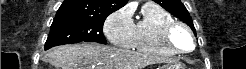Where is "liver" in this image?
Wrapping results in <instances>:
<instances>
[{"label":"liver","instance_id":"1","mask_svg":"<svg viewBox=\"0 0 246 69\" xmlns=\"http://www.w3.org/2000/svg\"><path fill=\"white\" fill-rule=\"evenodd\" d=\"M48 60L59 69H142L167 61L153 55L96 43L59 46L49 52Z\"/></svg>","mask_w":246,"mask_h":69}]
</instances>
